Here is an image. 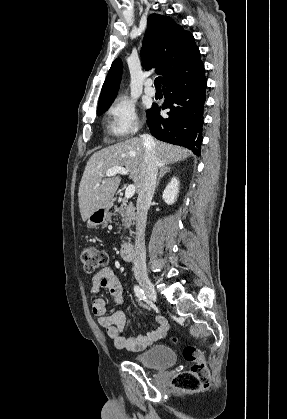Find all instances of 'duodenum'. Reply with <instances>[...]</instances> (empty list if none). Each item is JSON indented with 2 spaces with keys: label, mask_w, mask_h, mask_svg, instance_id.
<instances>
[{
  "label": "duodenum",
  "mask_w": 287,
  "mask_h": 419,
  "mask_svg": "<svg viewBox=\"0 0 287 419\" xmlns=\"http://www.w3.org/2000/svg\"><path fill=\"white\" fill-rule=\"evenodd\" d=\"M120 255L125 261H133L135 259V247L132 243L126 242L121 246Z\"/></svg>",
  "instance_id": "obj_1"
}]
</instances>
